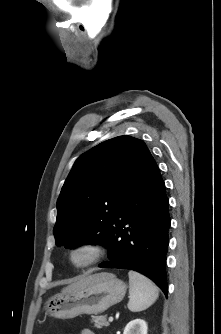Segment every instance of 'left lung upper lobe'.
<instances>
[{"label":"left lung upper lobe","mask_w":221,"mask_h":334,"mask_svg":"<svg viewBox=\"0 0 221 334\" xmlns=\"http://www.w3.org/2000/svg\"><path fill=\"white\" fill-rule=\"evenodd\" d=\"M154 159L146 144L130 136L106 140L74 163L57 201V246L99 242L108 246L120 208Z\"/></svg>","instance_id":"obj_1"}]
</instances>
